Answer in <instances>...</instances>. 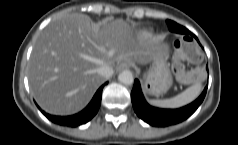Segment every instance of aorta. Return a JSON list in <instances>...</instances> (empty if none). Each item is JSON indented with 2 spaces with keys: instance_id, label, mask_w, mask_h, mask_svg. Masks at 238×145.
Listing matches in <instances>:
<instances>
[{
  "instance_id": "762f6f07",
  "label": "aorta",
  "mask_w": 238,
  "mask_h": 145,
  "mask_svg": "<svg viewBox=\"0 0 238 145\" xmlns=\"http://www.w3.org/2000/svg\"><path fill=\"white\" fill-rule=\"evenodd\" d=\"M118 80L125 85H131L134 82V77L131 71L124 70L118 75Z\"/></svg>"
}]
</instances>
